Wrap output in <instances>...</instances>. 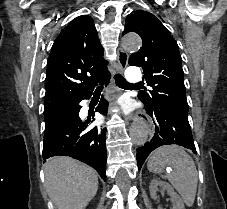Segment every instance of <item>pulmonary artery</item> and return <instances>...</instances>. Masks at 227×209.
Here are the masks:
<instances>
[{
	"label": "pulmonary artery",
	"instance_id": "obj_1",
	"mask_svg": "<svg viewBox=\"0 0 227 209\" xmlns=\"http://www.w3.org/2000/svg\"><path fill=\"white\" fill-rule=\"evenodd\" d=\"M128 73H124L126 83H143L144 74L137 70V66H128Z\"/></svg>",
	"mask_w": 227,
	"mask_h": 209
}]
</instances>
